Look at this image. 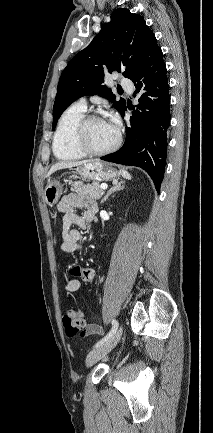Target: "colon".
<instances>
[{"instance_id":"colon-1","label":"colon","mask_w":213,"mask_h":433,"mask_svg":"<svg viewBox=\"0 0 213 433\" xmlns=\"http://www.w3.org/2000/svg\"><path fill=\"white\" fill-rule=\"evenodd\" d=\"M63 325L66 334L70 337L87 333L85 318L79 309H69L63 316Z\"/></svg>"}]
</instances>
